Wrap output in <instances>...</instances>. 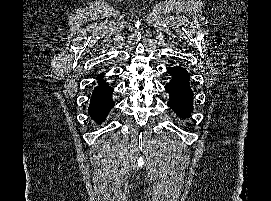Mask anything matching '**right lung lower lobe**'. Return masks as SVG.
<instances>
[{
	"mask_svg": "<svg viewBox=\"0 0 271 201\" xmlns=\"http://www.w3.org/2000/svg\"><path fill=\"white\" fill-rule=\"evenodd\" d=\"M103 76L104 73L98 76V86L94 88L88 109L91 118L97 122L104 121L110 110L114 107L111 97L113 88L103 81Z\"/></svg>",
	"mask_w": 271,
	"mask_h": 201,
	"instance_id": "right-lung-lower-lobe-1",
	"label": "right lung lower lobe"
}]
</instances>
